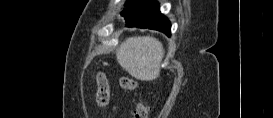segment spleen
<instances>
[{
	"mask_svg": "<svg viewBox=\"0 0 273 118\" xmlns=\"http://www.w3.org/2000/svg\"><path fill=\"white\" fill-rule=\"evenodd\" d=\"M117 61L132 77L149 81L160 74L164 50L156 38H127L116 50Z\"/></svg>",
	"mask_w": 273,
	"mask_h": 118,
	"instance_id": "obj_1",
	"label": "spleen"
}]
</instances>
